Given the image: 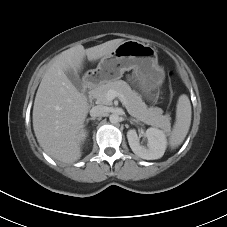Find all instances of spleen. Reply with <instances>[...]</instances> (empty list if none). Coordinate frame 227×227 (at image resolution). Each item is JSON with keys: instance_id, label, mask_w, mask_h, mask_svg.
I'll list each match as a JSON object with an SVG mask.
<instances>
[{"instance_id": "3e777b00", "label": "spleen", "mask_w": 227, "mask_h": 227, "mask_svg": "<svg viewBox=\"0 0 227 227\" xmlns=\"http://www.w3.org/2000/svg\"><path fill=\"white\" fill-rule=\"evenodd\" d=\"M191 124V103L187 95L182 94L177 102L176 121L169 134V145L177 148L184 141Z\"/></svg>"}]
</instances>
